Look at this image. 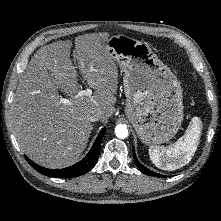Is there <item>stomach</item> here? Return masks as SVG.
Listing matches in <instances>:
<instances>
[{
	"label": "stomach",
	"instance_id": "stomach-1",
	"mask_svg": "<svg viewBox=\"0 0 221 221\" xmlns=\"http://www.w3.org/2000/svg\"><path fill=\"white\" fill-rule=\"evenodd\" d=\"M106 44L124 74L125 112L140 140L146 145L169 141L183 121L180 82L146 43L114 35Z\"/></svg>",
	"mask_w": 221,
	"mask_h": 221
}]
</instances>
